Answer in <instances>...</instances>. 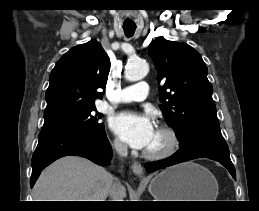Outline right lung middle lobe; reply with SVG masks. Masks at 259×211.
Returning a JSON list of instances; mask_svg holds the SVG:
<instances>
[{
	"mask_svg": "<svg viewBox=\"0 0 259 211\" xmlns=\"http://www.w3.org/2000/svg\"><path fill=\"white\" fill-rule=\"evenodd\" d=\"M96 108H90L86 111L74 114L64 119L44 123L42 130H55V129H75L82 131H100L104 129V124L99 122L102 114L94 115L92 112Z\"/></svg>",
	"mask_w": 259,
	"mask_h": 211,
	"instance_id": "right-lung-middle-lobe-1",
	"label": "right lung middle lobe"
}]
</instances>
